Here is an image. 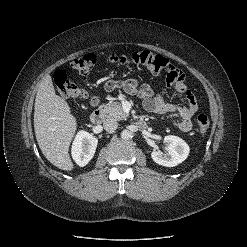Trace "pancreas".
<instances>
[{"mask_svg":"<svg viewBox=\"0 0 247 247\" xmlns=\"http://www.w3.org/2000/svg\"><path fill=\"white\" fill-rule=\"evenodd\" d=\"M99 109L105 114L107 118L115 120H124L128 117V114L123 110L121 103L109 102L102 104Z\"/></svg>","mask_w":247,"mask_h":247,"instance_id":"obj_1","label":"pancreas"}]
</instances>
